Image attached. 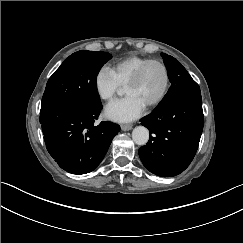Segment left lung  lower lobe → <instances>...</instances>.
Instances as JSON below:
<instances>
[{
	"label": "left lung lower lobe",
	"mask_w": 243,
	"mask_h": 243,
	"mask_svg": "<svg viewBox=\"0 0 243 243\" xmlns=\"http://www.w3.org/2000/svg\"><path fill=\"white\" fill-rule=\"evenodd\" d=\"M149 142L139 149L147 170L161 177L183 172L193 160L203 130L201 93L180 92L141 120Z\"/></svg>",
	"instance_id": "1"
}]
</instances>
